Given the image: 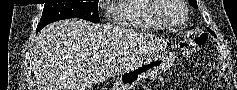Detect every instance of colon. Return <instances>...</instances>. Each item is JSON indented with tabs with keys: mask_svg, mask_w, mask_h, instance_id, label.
<instances>
[{
	"mask_svg": "<svg viewBox=\"0 0 237 90\" xmlns=\"http://www.w3.org/2000/svg\"><path fill=\"white\" fill-rule=\"evenodd\" d=\"M206 36L204 34L199 35L196 38L183 39L179 43V48L184 57H189L195 51V49L205 43Z\"/></svg>",
	"mask_w": 237,
	"mask_h": 90,
	"instance_id": "5ec220e1",
	"label": "colon"
}]
</instances>
